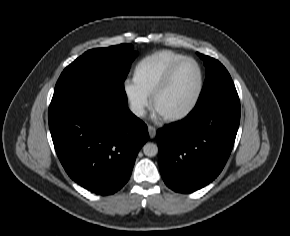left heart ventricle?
<instances>
[{"instance_id": "1", "label": "left heart ventricle", "mask_w": 290, "mask_h": 236, "mask_svg": "<svg viewBox=\"0 0 290 236\" xmlns=\"http://www.w3.org/2000/svg\"><path fill=\"white\" fill-rule=\"evenodd\" d=\"M197 87V71L193 64L185 63L175 72L169 86L156 99V110L174 113L186 107Z\"/></svg>"}]
</instances>
